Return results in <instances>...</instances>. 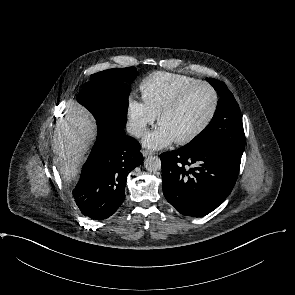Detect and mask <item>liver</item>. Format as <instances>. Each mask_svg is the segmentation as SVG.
Segmentation results:
<instances>
[{"label":"liver","mask_w":295,"mask_h":295,"mask_svg":"<svg viewBox=\"0 0 295 295\" xmlns=\"http://www.w3.org/2000/svg\"><path fill=\"white\" fill-rule=\"evenodd\" d=\"M96 124L81 105L69 100L64 117L57 123L53 149L63 162L61 175L67 180L76 178L86 152L95 139Z\"/></svg>","instance_id":"1"}]
</instances>
